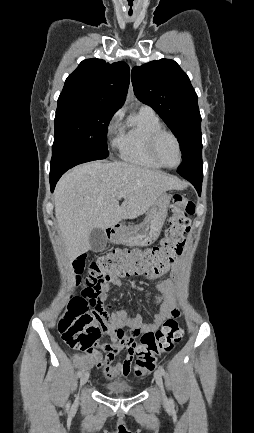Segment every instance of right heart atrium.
Wrapping results in <instances>:
<instances>
[{"label":"right heart atrium","instance_id":"d8ad5b80","mask_svg":"<svg viewBox=\"0 0 254 433\" xmlns=\"http://www.w3.org/2000/svg\"><path fill=\"white\" fill-rule=\"evenodd\" d=\"M120 113L116 112L110 119L108 127H107V134L110 136L118 131L119 128V120H120Z\"/></svg>","mask_w":254,"mask_h":433}]
</instances>
